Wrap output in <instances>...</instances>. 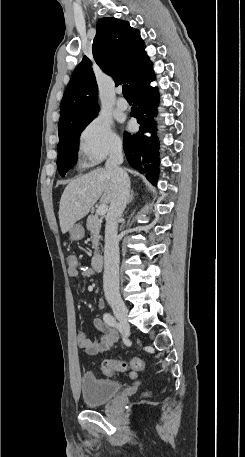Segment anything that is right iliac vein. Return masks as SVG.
I'll use <instances>...</instances> for the list:
<instances>
[{
  "mask_svg": "<svg viewBox=\"0 0 245 457\" xmlns=\"http://www.w3.org/2000/svg\"><path fill=\"white\" fill-rule=\"evenodd\" d=\"M109 304L113 309V312L117 319L121 322L123 327L125 328V334H129V325L128 321V309L125 303L118 297H113L109 299Z\"/></svg>",
  "mask_w": 245,
  "mask_h": 457,
  "instance_id": "1",
  "label": "right iliac vein"
}]
</instances>
